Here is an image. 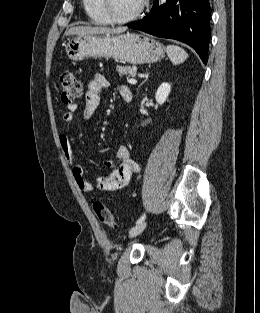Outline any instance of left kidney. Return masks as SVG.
I'll return each mask as SVG.
<instances>
[{"mask_svg":"<svg viewBox=\"0 0 260 313\" xmlns=\"http://www.w3.org/2000/svg\"><path fill=\"white\" fill-rule=\"evenodd\" d=\"M171 91V85L169 83H162L159 88L157 89V92L155 94L156 101L162 105L168 98Z\"/></svg>","mask_w":260,"mask_h":313,"instance_id":"5707ae66","label":"left kidney"}]
</instances>
